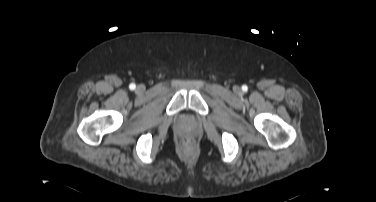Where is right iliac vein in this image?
Instances as JSON below:
<instances>
[{
  "instance_id": "63e3f726",
  "label": "right iliac vein",
  "mask_w": 376,
  "mask_h": 202,
  "mask_svg": "<svg viewBox=\"0 0 376 202\" xmlns=\"http://www.w3.org/2000/svg\"><path fill=\"white\" fill-rule=\"evenodd\" d=\"M137 90H138L139 92H142V91L144 90V87H143L142 85H139V86L137 87Z\"/></svg>"
}]
</instances>
